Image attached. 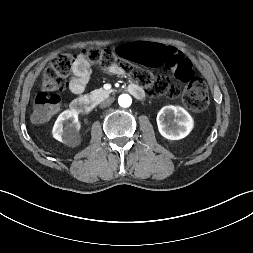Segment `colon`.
<instances>
[{"label": "colon", "instance_id": "1", "mask_svg": "<svg viewBox=\"0 0 253 253\" xmlns=\"http://www.w3.org/2000/svg\"><path fill=\"white\" fill-rule=\"evenodd\" d=\"M80 56L101 67L118 66L145 87L152 96H178L180 94L178 82L135 66L133 63L145 68H158L167 75L177 76L179 80L185 82L182 99L188 108L202 111L209 104L205 82L194 76L190 58L178 48H170L165 44L149 40L122 43L117 49L89 48ZM76 58L71 54H60L53 58L43 71L41 91L37 94L34 103L33 118L37 123L46 122L57 112L60 103L59 93L66 88L67 78Z\"/></svg>", "mask_w": 253, "mask_h": 253}]
</instances>
